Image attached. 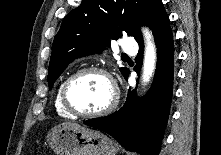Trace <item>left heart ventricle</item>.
Listing matches in <instances>:
<instances>
[{
    "label": "left heart ventricle",
    "mask_w": 221,
    "mask_h": 155,
    "mask_svg": "<svg viewBox=\"0 0 221 155\" xmlns=\"http://www.w3.org/2000/svg\"><path fill=\"white\" fill-rule=\"evenodd\" d=\"M112 90L107 79L100 74H85L77 78L69 88L71 105L81 112H96L111 100Z\"/></svg>",
    "instance_id": "1"
}]
</instances>
